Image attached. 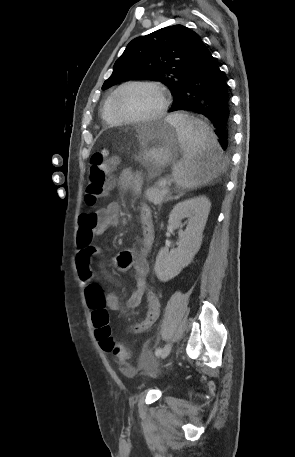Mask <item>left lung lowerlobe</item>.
Wrapping results in <instances>:
<instances>
[{"instance_id":"0a47b994","label":"left lung lower lobe","mask_w":295,"mask_h":457,"mask_svg":"<svg viewBox=\"0 0 295 457\" xmlns=\"http://www.w3.org/2000/svg\"><path fill=\"white\" fill-rule=\"evenodd\" d=\"M190 110L207 117L223 150L231 141L229 95L222 71L203 43L186 69L184 83L170 112Z\"/></svg>"}]
</instances>
